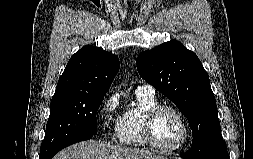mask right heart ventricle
Instances as JSON below:
<instances>
[{"label": "right heart ventricle", "instance_id": "right-heart-ventricle-1", "mask_svg": "<svg viewBox=\"0 0 253 159\" xmlns=\"http://www.w3.org/2000/svg\"><path fill=\"white\" fill-rule=\"evenodd\" d=\"M137 106L127 109L121 116L116 129L118 143L125 146L141 147L145 145L142 137V121L145 112L156 105L155 95L136 93Z\"/></svg>", "mask_w": 253, "mask_h": 159}]
</instances>
